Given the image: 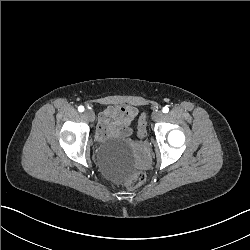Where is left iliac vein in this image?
<instances>
[{
	"label": "left iliac vein",
	"instance_id": "obj_1",
	"mask_svg": "<svg viewBox=\"0 0 250 250\" xmlns=\"http://www.w3.org/2000/svg\"><path fill=\"white\" fill-rule=\"evenodd\" d=\"M152 118L156 121H162V119L164 118V113L161 111L155 112Z\"/></svg>",
	"mask_w": 250,
	"mask_h": 250
}]
</instances>
